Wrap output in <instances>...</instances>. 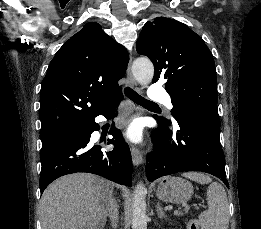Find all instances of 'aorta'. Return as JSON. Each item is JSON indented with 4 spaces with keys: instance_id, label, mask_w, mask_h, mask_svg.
<instances>
[{
    "instance_id": "aorta-1",
    "label": "aorta",
    "mask_w": 261,
    "mask_h": 229,
    "mask_svg": "<svg viewBox=\"0 0 261 229\" xmlns=\"http://www.w3.org/2000/svg\"><path fill=\"white\" fill-rule=\"evenodd\" d=\"M132 72L140 84L147 86L154 76V66L149 58L141 56V58H135L132 64ZM146 195L147 189H145L143 183H138L135 187L132 203V229H147Z\"/></svg>"
}]
</instances>
